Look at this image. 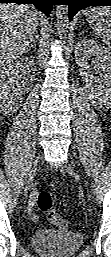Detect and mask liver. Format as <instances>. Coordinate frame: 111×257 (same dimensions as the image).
I'll return each instance as SVG.
<instances>
[{
    "label": "liver",
    "mask_w": 111,
    "mask_h": 257,
    "mask_svg": "<svg viewBox=\"0 0 111 257\" xmlns=\"http://www.w3.org/2000/svg\"><path fill=\"white\" fill-rule=\"evenodd\" d=\"M39 23H44V17L33 6L15 3L0 5L1 67L9 65L26 51Z\"/></svg>",
    "instance_id": "obj_1"
}]
</instances>
